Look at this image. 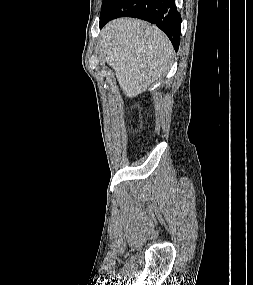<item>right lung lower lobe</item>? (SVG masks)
I'll list each match as a JSON object with an SVG mask.
<instances>
[{
	"label": "right lung lower lobe",
	"instance_id": "98d812e1",
	"mask_svg": "<svg viewBox=\"0 0 253 285\" xmlns=\"http://www.w3.org/2000/svg\"><path fill=\"white\" fill-rule=\"evenodd\" d=\"M118 17H137L156 24L178 50L181 34V16L175 0H114L100 15V28Z\"/></svg>",
	"mask_w": 253,
	"mask_h": 285
}]
</instances>
